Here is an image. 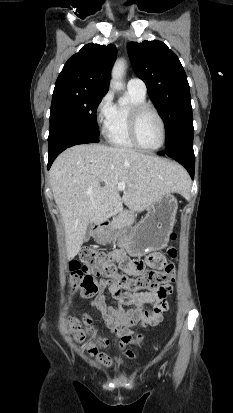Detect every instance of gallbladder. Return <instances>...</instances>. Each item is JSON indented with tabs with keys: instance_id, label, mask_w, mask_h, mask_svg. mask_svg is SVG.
<instances>
[{
	"instance_id": "gallbladder-1",
	"label": "gallbladder",
	"mask_w": 233,
	"mask_h": 413,
	"mask_svg": "<svg viewBox=\"0 0 233 413\" xmlns=\"http://www.w3.org/2000/svg\"><path fill=\"white\" fill-rule=\"evenodd\" d=\"M90 237H91V225H89V226L87 227L84 240H85V241H88V240L90 239Z\"/></svg>"
}]
</instances>
